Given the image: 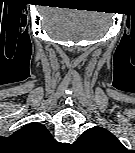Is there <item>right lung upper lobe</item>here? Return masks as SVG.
<instances>
[{"instance_id":"obj_1","label":"right lung upper lobe","mask_w":135,"mask_h":153,"mask_svg":"<svg viewBox=\"0 0 135 153\" xmlns=\"http://www.w3.org/2000/svg\"><path fill=\"white\" fill-rule=\"evenodd\" d=\"M12 136L18 137L22 141L38 147L54 142L47 128L36 122L27 124L16 131Z\"/></svg>"}]
</instances>
